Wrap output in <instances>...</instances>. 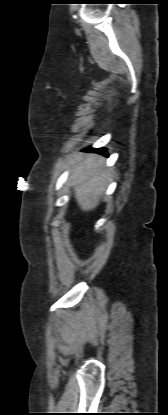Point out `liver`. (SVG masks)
I'll return each instance as SVG.
<instances>
[{"instance_id": "6515ba94", "label": "liver", "mask_w": 168, "mask_h": 415, "mask_svg": "<svg viewBox=\"0 0 168 415\" xmlns=\"http://www.w3.org/2000/svg\"><path fill=\"white\" fill-rule=\"evenodd\" d=\"M105 159L90 154L74 156L70 160L72 171L70 180L75 191V199L83 211L95 209L106 190L109 170L104 166Z\"/></svg>"}]
</instances>
